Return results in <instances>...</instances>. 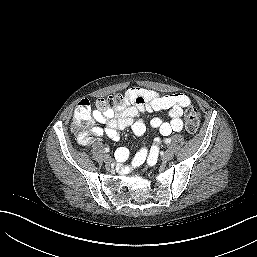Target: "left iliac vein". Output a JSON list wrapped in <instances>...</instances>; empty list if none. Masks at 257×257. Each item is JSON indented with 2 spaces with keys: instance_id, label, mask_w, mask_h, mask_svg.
<instances>
[{
  "instance_id": "1",
  "label": "left iliac vein",
  "mask_w": 257,
  "mask_h": 257,
  "mask_svg": "<svg viewBox=\"0 0 257 257\" xmlns=\"http://www.w3.org/2000/svg\"><path fill=\"white\" fill-rule=\"evenodd\" d=\"M174 153L171 149H167L163 154H162V159L165 161H169L173 158Z\"/></svg>"
}]
</instances>
